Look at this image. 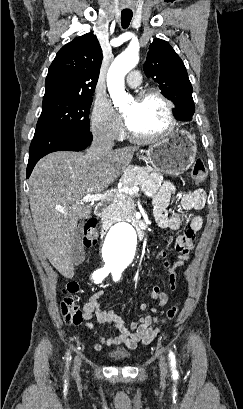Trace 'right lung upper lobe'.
<instances>
[{
    "label": "right lung upper lobe",
    "mask_w": 243,
    "mask_h": 409,
    "mask_svg": "<svg viewBox=\"0 0 243 409\" xmlns=\"http://www.w3.org/2000/svg\"><path fill=\"white\" fill-rule=\"evenodd\" d=\"M102 58L100 44L92 33L63 46L49 67L43 101L92 97Z\"/></svg>",
    "instance_id": "1"
}]
</instances>
